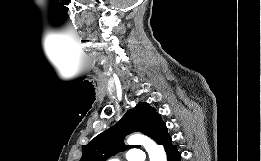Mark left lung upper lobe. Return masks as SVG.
Segmentation results:
<instances>
[{
    "instance_id": "obj_1",
    "label": "left lung upper lobe",
    "mask_w": 261,
    "mask_h": 161,
    "mask_svg": "<svg viewBox=\"0 0 261 161\" xmlns=\"http://www.w3.org/2000/svg\"><path fill=\"white\" fill-rule=\"evenodd\" d=\"M136 131L146 134L158 144L169 135L160 114L148 103L140 102L128 110L116 125L84 145L80 161H106L120 151L135 147L125 145L123 140L126 135Z\"/></svg>"
}]
</instances>
